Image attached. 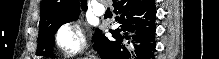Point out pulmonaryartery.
<instances>
[{
	"label": "pulmonary artery",
	"instance_id": "e3ab8cb5",
	"mask_svg": "<svg viewBox=\"0 0 219 59\" xmlns=\"http://www.w3.org/2000/svg\"><path fill=\"white\" fill-rule=\"evenodd\" d=\"M100 2H102V1H98L97 4H94L92 6L93 12L98 16L104 15V13L106 11L105 7L102 4H100Z\"/></svg>",
	"mask_w": 219,
	"mask_h": 59
}]
</instances>
